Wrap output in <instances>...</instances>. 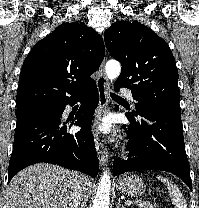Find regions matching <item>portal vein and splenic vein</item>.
<instances>
[{
    "label": "portal vein and splenic vein",
    "instance_id": "1",
    "mask_svg": "<svg viewBox=\"0 0 199 208\" xmlns=\"http://www.w3.org/2000/svg\"><path fill=\"white\" fill-rule=\"evenodd\" d=\"M126 205L130 206V205H132V202H126Z\"/></svg>",
    "mask_w": 199,
    "mask_h": 208
}]
</instances>
